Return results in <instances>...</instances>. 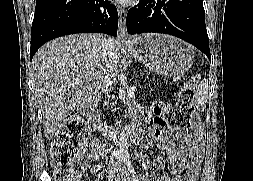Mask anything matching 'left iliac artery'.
<instances>
[{"label": "left iliac artery", "mask_w": 253, "mask_h": 181, "mask_svg": "<svg viewBox=\"0 0 253 181\" xmlns=\"http://www.w3.org/2000/svg\"><path fill=\"white\" fill-rule=\"evenodd\" d=\"M126 164H127L128 168L130 169V172L132 173L133 181H139V178L136 175V172L134 171V169H132L131 161L126 160Z\"/></svg>", "instance_id": "1"}]
</instances>
